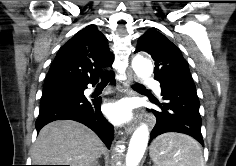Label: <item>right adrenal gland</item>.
<instances>
[{"label":"right adrenal gland","instance_id":"1","mask_svg":"<svg viewBox=\"0 0 236 166\" xmlns=\"http://www.w3.org/2000/svg\"><path fill=\"white\" fill-rule=\"evenodd\" d=\"M92 166H100V164L96 161Z\"/></svg>","mask_w":236,"mask_h":166}]
</instances>
